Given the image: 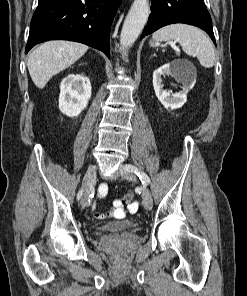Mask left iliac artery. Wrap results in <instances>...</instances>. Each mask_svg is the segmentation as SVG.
I'll use <instances>...</instances> for the list:
<instances>
[{
  "mask_svg": "<svg viewBox=\"0 0 247 296\" xmlns=\"http://www.w3.org/2000/svg\"><path fill=\"white\" fill-rule=\"evenodd\" d=\"M125 168L128 171L134 172L140 178L142 183H145V184L150 183V178L148 177V175L142 172L141 170H139L138 168H136L135 166L128 164V165H125Z\"/></svg>",
  "mask_w": 247,
  "mask_h": 296,
  "instance_id": "obj_1",
  "label": "left iliac artery"
}]
</instances>
